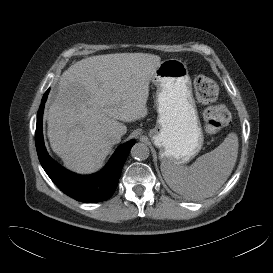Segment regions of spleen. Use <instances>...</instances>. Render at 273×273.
<instances>
[{"label":"spleen","instance_id":"1","mask_svg":"<svg viewBox=\"0 0 273 273\" xmlns=\"http://www.w3.org/2000/svg\"><path fill=\"white\" fill-rule=\"evenodd\" d=\"M238 137L229 133L214 150L199 158L191 166L161 163L163 177L169 187L192 199L213 195L230 176L238 155Z\"/></svg>","mask_w":273,"mask_h":273}]
</instances>
